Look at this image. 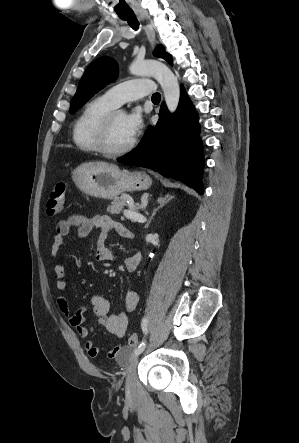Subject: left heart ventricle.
Instances as JSON below:
<instances>
[{
    "label": "left heart ventricle",
    "mask_w": 299,
    "mask_h": 443,
    "mask_svg": "<svg viewBox=\"0 0 299 443\" xmlns=\"http://www.w3.org/2000/svg\"><path fill=\"white\" fill-rule=\"evenodd\" d=\"M134 137L125 125V114L119 112L115 115L109 137V145L113 149H120L129 144Z\"/></svg>",
    "instance_id": "left-heart-ventricle-1"
}]
</instances>
